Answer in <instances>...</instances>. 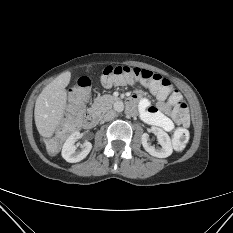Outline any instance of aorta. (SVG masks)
Returning <instances> with one entry per match:
<instances>
[{
	"label": "aorta",
	"instance_id": "1",
	"mask_svg": "<svg viewBox=\"0 0 233 233\" xmlns=\"http://www.w3.org/2000/svg\"><path fill=\"white\" fill-rule=\"evenodd\" d=\"M114 108L117 112H121L124 110V104L121 101L115 103Z\"/></svg>",
	"mask_w": 233,
	"mask_h": 233
}]
</instances>
